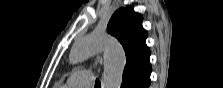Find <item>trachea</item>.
I'll use <instances>...</instances> for the list:
<instances>
[{"mask_svg": "<svg viewBox=\"0 0 223 88\" xmlns=\"http://www.w3.org/2000/svg\"><path fill=\"white\" fill-rule=\"evenodd\" d=\"M101 86V82L97 79L95 81V87H100Z\"/></svg>", "mask_w": 223, "mask_h": 88, "instance_id": "trachea-1", "label": "trachea"}]
</instances>
